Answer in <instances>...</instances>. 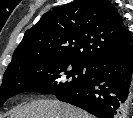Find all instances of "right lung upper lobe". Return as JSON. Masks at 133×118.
Here are the masks:
<instances>
[{"instance_id":"obj_1","label":"right lung upper lobe","mask_w":133,"mask_h":118,"mask_svg":"<svg viewBox=\"0 0 133 118\" xmlns=\"http://www.w3.org/2000/svg\"><path fill=\"white\" fill-rule=\"evenodd\" d=\"M129 44V33L109 0H74L45 13L25 32L7 69L50 58L93 67Z\"/></svg>"}]
</instances>
